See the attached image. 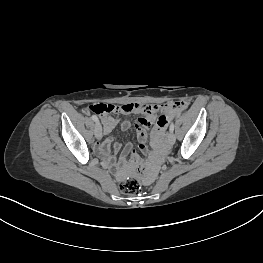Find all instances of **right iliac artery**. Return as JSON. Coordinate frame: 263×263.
Instances as JSON below:
<instances>
[{
	"mask_svg": "<svg viewBox=\"0 0 263 263\" xmlns=\"http://www.w3.org/2000/svg\"><path fill=\"white\" fill-rule=\"evenodd\" d=\"M91 118H92V120H93V121H95V122H99V120H98L97 116H95V115H92V117H91Z\"/></svg>",
	"mask_w": 263,
	"mask_h": 263,
	"instance_id": "right-iliac-artery-1",
	"label": "right iliac artery"
}]
</instances>
